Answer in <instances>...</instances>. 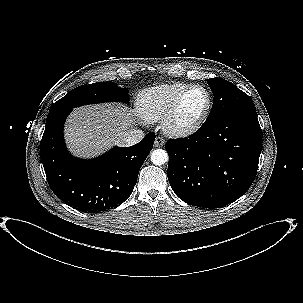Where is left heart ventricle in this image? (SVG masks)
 I'll list each match as a JSON object with an SVG mask.
<instances>
[{"label": "left heart ventricle", "mask_w": 303, "mask_h": 303, "mask_svg": "<svg viewBox=\"0 0 303 303\" xmlns=\"http://www.w3.org/2000/svg\"><path fill=\"white\" fill-rule=\"evenodd\" d=\"M206 95L203 90L193 89L185 98L178 115L181 124H187L196 119L204 110Z\"/></svg>", "instance_id": "b2bd125f"}]
</instances>
